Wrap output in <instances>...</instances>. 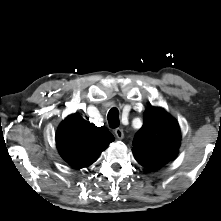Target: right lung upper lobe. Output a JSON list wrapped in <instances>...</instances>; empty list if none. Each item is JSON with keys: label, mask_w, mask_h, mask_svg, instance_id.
I'll return each mask as SVG.
<instances>
[{"label": "right lung upper lobe", "mask_w": 221, "mask_h": 221, "mask_svg": "<svg viewBox=\"0 0 221 221\" xmlns=\"http://www.w3.org/2000/svg\"><path fill=\"white\" fill-rule=\"evenodd\" d=\"M114 137L103 127L88 123L78 114L68 116L56 134L57 148L62 158L80 169L95 162Z\"/></svg>", "instance_id": "right-lung-upper-lobe-1"}]
</instances>
